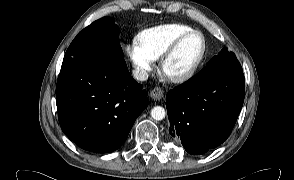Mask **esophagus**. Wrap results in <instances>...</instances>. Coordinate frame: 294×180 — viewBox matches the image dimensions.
<instances>
[{
  "label": "esophagus",
  "instance_id": "1",
  "mask_svg": "<svg viewBox=\"0 0 294 180\" xmlns=\"http://www.w3.org/2000/svg\"><path fill=\"white\" fill-rule=\"evenodd\" d=\"M163 89L160 87H155L150 91V96L154 100H160L163 98Z\"/></svg>",
  "mask_w": 294,
  "mask_h": 180
}]
</instances>
